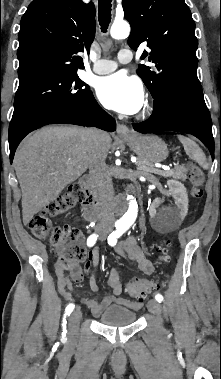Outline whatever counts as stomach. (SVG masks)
Wrapping results in <instances>:
<instances>
[{
    "label": "stomach",
    "mask_w": 221,
    "mask_h": 379,
    "mask_svg": "<svg viewBox=\"0 0 221 379\" xmlns=\"http://www.w3.org/2000/svg\"><path fill=\"white\" fill-rule=\"evenodd\" d=\"M124 141L135 152L138 159L150 165L163 162L169 154L166 143L156 135L132 134L125 137Z\"/></svg>",
    "instance_id": "obj_1"
}]
</instances>
